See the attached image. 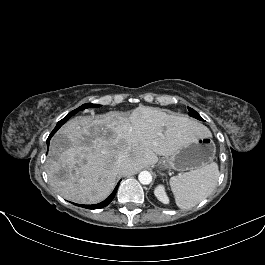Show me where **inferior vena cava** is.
<instances>
[{"label":"inferior vena cava","instance_id":"1","mask_svg":"<svg viewBox=\"0 0 265 265\" xmlns=\"http://www.w3.org/2000/svg\"><path fill=\"white\" fill-rule=\"evenodd\" d=\"M118 167L120 169H124L125 168V163L123 162V159L122 158H119Z\"/></svg>","mask_w":265,"mask_h":265}]
</instances>
